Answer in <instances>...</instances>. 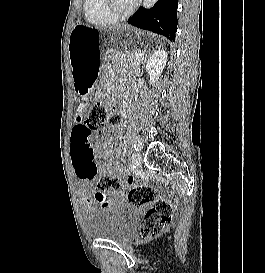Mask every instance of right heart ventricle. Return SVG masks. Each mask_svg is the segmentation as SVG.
Instances as JSON below:
<instances>
[{"instance_id": "1", "label": "right heart ventricle", "mask_w": 265, "mask_h": 273, "mask_svg": "<svg viewBox=\"0 0 265 273\" xmlns=\"http://www.w3.org/2000/svg\"><path fill=\"white\" fill-rule=\"evenodd\" d=\"M84 16L88 23L96 26H104L115 22L103 10L102 0H84Z\"/></svg>"}]
</instances>
